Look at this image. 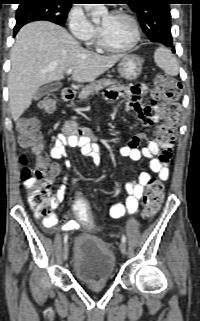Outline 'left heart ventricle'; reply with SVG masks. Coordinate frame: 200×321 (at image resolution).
<instances>
[{
    "label": "left heart ventricle",
    "instance_id": "obj_1",
    "mask_svg": "<svg viewBox=\"0 0 200 321\" xmlns=\"http://www.w3.org/2000/svg\"><path fill=\"white\" fill-rule=\"evenodd\" d=\"M99 24L104 39L111 46H127L134 38L133 25L124 17L105 15Z\"/></svg>",
    "mask_w": 200,
    "mask_h": 321
}]
</instances>
